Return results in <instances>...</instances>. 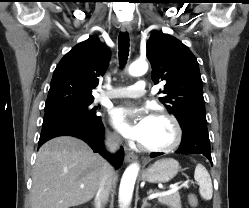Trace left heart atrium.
<instances>
[{
	"label": "left heart atrium",
	"mask_w": 249,
	"mask_h": 208,
	"mask_svg": "<svg viewBox=\"0 0 249 208\" xmlns=\"http://www.w3.org/2000/svg\"><path fill=\"white\" fill-rule=\"evenodd\" d=\"M153 116L144 108L117 107L111 111L113 126L125 138L143 143L146 139Z\"/></svg>",
	"instance_id": "39dd6f15"
}]
</instances>
